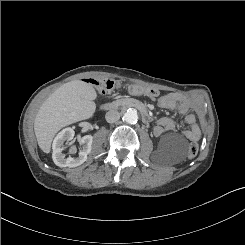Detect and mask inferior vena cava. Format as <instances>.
Here are the masks:
<instances>
[{
    "label": "inferior vena cava",
    "mask_w": 245,
    "mask_h": 245,
    "mask_svg": "<svg viewBox=\"0 0 245 245\" xmlns=\"http://www.w3.org/2000/svg\"><path fill=\"white\" fill-rule=\"evenodd\" d=\"M106 121L114 123L120 119V113L117 110H110L105 115Z\"/></svg>",
    "instance_id": "obj_1"
}]
</instances>
